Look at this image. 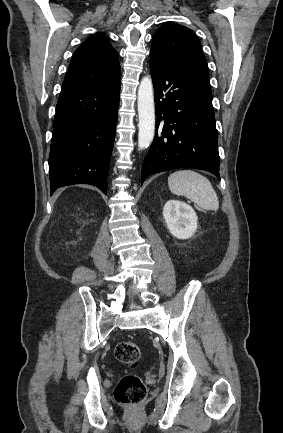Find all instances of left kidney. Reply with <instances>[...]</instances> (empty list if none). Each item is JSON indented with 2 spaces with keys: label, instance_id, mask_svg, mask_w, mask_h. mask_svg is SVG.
I'll return each mask as SVG.
<instances>
[{
  "label": "left kidney",
  "instance_id": "left-kidney-1",
  "mask_svg": "<svg viewBox=\"0 0 283 433\" xmlns=\"http://www.w3.org/2000/svg\"><path fill=\"white\" fill-rule=\"evenodd\" d=\"M163 217L169 232L178 239L191 238L197 230V215L185 202L167 201L163 207Z\"/></svg>",
  "mask_w": 283,
  "mask_h": 433
}]
</instances>
